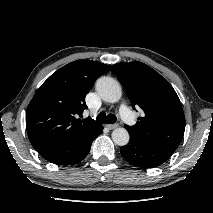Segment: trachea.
Masks as SVG:
<instances>
[{
    "mask_svg": "<svg viewBox=\"0 0 213 213\" xmlns=\"http://www.w3.org/2000/svg\"><path fill=\"white\" fill-rule=\"evenodd\" d=\"M117 118L115 115L113 114H108L106 115L105 112H101L98 114V116L96 117V121L100 124H114L116 122Z\"/></svg>",
    "mask_w": 213,
    "mask_h": 213,
    "instance_id": "trachea-1",
    "label": "trachea"
}]
</instances>
